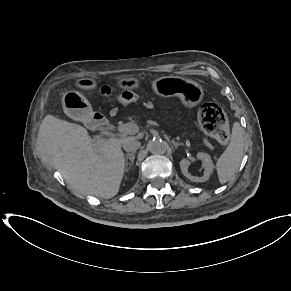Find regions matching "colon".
Segmentation results:
<instances>
[{
    "instance_id": "1",
    "label": "colon",
    "mask_w": 291,
    "mask_h": 291,
    "mask_svg": "<svg viewBox=\"0 0 291 291\" xmlns=\"http://www.w3.org/2000/svg\"><path fill=\"white\" fill-rule=\"evenodd\" d=\"M101 94L109 96L111 89L104 85ZM119 100L122 102H132L135 96L131 92H125ZM198 119L203 131L215 137L220 143L226 144L230 139L229 122L225 111L216 103L206 102L199 108Z\"/></svg>"
}]
</instances>
